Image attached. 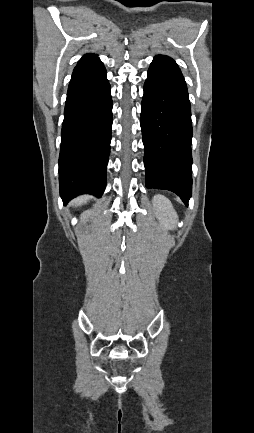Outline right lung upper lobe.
<instances>
[{"instance_id":"obj_1","label":"right lung upper lobe","mask_w":254,"mask_h":433,"mask_svg":"<svg viewBox=\"0 0 254 433\" xmlns=\"http://www.w3.org/2000/svg\"><path fill=\"white\" fill-rule=\"evenodd\" d=\"M94 59H97V55L95 54H86L84 55L78 62L79 63H83V62H88V61H92Z\"/></svg>"}]
</instances>
